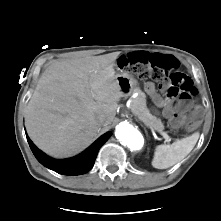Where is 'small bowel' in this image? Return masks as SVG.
Instances as JSON below:
<instances>
[{"mask_svg":"<svg viewBox=\"0 0 221 221\" xmlns=\"http://www.w3.org/2000/svg\"><path fill=\"white\" fill-rule=\"evenodd\" d=\"M142 52V51H137ZM136 52H131L127 55V57L132 56ZM147 55H150L152 53L144 52ZM149 91L151 92L153 102L156 106L163 107V114L164 116L168 118H173L175 113L178 112V110L182 107L181 102H176L174 99V96L167 95L166 97L162 98L158 94L155 93L154 89L149 85L148 86Z\"/></svg>","mask_w":221,"mask_h":221,"instance_id":"1","label":"small bowel"}]
</instances>
